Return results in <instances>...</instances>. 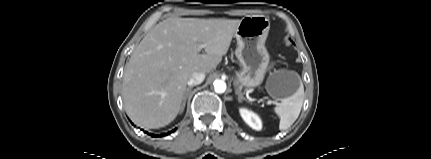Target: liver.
I'll return each mask as SVG.
<instances>
[{
	"instance_id": "liver-1",
	"label": "liver",
	"mask_w": 431,
	"mask_h": 159,
	"mask_svg": "<svg viewBox=\"0 0 431 159\" xmlns=\"http://www.w3.org/2000/svg\"><path fill=\"white\" fill-rule=\"evenodd\" d=\"M240 21L174 17L151 29L124 73L123 102L131 120L149 129L171 123L181 110L191 74L216 69Z\"/></svg>"
}]
</instances>
